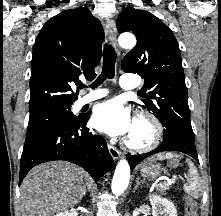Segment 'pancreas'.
<instances>
[{"mask_svg":"<svg viewBox=\"0 0 221 216\" xmlns=\"http://www.w3.org/2000/svg\"><path fill=\"white\" fill-rule=\"evenodd\" d=\"M158 188H159V190L160 191H162V192H164V191H166V190H168L169 189V187H168V185L167 184H161V185H159L158 186Z\"/></svg>","mask_w":221,"mask_h":216,"instance_id":"pancreas-1","label":"pancreas"}]
</instances>
